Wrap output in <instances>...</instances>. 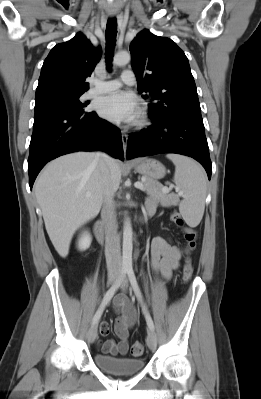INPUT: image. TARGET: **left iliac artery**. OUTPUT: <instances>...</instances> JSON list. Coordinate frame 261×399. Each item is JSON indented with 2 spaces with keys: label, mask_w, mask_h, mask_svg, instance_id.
Masks as SVG:
<instances>
[{
  "label": "left iliac artery",
  "mask_w": 261,
  "mask_h": 399,
  "mask_svg": "<svg viewBox=\"0 0 261 399\" xmlns=\"http://www.w3.org/2000/svg\"><path fill=\"white\" fill-rule=\"evenodd\" d=\"M127 274H128V278H129V281L131 283V286H132V288L134 290V293H135L138 301L141 304V307H142V310H143L147 325H148L150 330L154 331V323H153L152 318H151V316H150V314H149V312L147 310V307L144 304L143 296H142L141 290L139 288V285L137 283L136 276H135V273H134L133 269L132 268H128L127 269Z\"/></svg>",
  "instance_id": "44dca946"
}]
</instances>
